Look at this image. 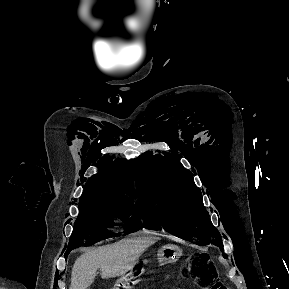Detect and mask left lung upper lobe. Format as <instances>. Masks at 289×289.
Listing matches in <instances>:
<instances>
[{
    "mask_svg": "<svg viewBox=\"0 0 289 289\" xmlns=\"http://www.w3.org/2000/svg\"><path fill=\"white\" fill-rule=\"evenodd\" d=\"M138 160L141 195L137 203L146 227L158 230L162 226L181 239L214 244L223 251L221 235L209 219L201 191L178 158L148 152Z\"/></svg>",
    "mask_w": 289,
    "mask_h": 289,
    "instance_id": "obj_1",
    "label": "left lung upper lobe"
}]
</instances>
